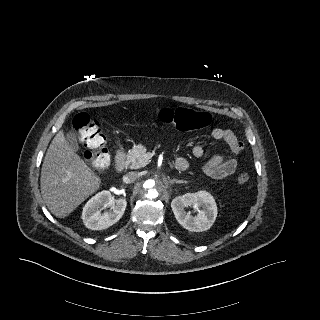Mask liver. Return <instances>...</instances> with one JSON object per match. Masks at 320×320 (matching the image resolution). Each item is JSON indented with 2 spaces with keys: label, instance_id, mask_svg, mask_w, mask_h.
Here are the masks:
<instances>
[{
  "label": "liver",
  "instance_id": "liver-1",
  "mask_svg": "<svg viewBox=\"0 0 320 320\" xmlns=\"http://www.w3.org/2000/svg\"><path fill=\"white\" fill-rule=\"evenodd\" d=\"M100 181L59 131L46 152L40 178L41 194L50 212L67 217L100 187Z\"/></svg>",
  "mask_w": 320,
  "mask_h": 320
}]
</instances>
